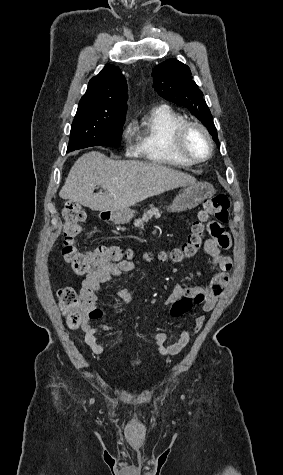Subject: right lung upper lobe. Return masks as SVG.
I'll list each match as a JSON object with an SVG mask.
<instances>
[{"label": "right lung upper lobe", "mask_w": 283, "mask_h": 475, "mask_svg": "<svg viewBox=\"0 0 283 475\" xmlns=\"http://www.w3.org/2000/svg\"><path fill=\"white\" fill-rule=\"evenodd\" d=\"M127 85L118 67L107 64L105 68L89 81L88 88L79 104L107 106L126 105Z\"/></svg>", "instance_id": "obj_1"}]
</instances>
